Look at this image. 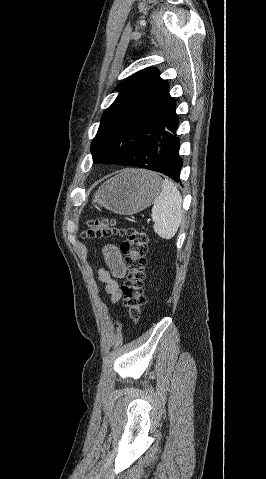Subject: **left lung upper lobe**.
<instances>
[{"label":"left lung upper lobe","instance_id":"5c2ea615","mask_svg":"<svg viewBox=\"0 0 266 479\" xmlns=\"http://www.w3.org/2000/svg\"><path fill=\"white\" fill-rule=\"evenodd\" d=\"M117 91L102 115L91 153L96 163L139 167L155 158L174 100L156 68L133 74L117 85Z\"/></svg>","mask_w":266,"mask_h":479}]
</instances>
